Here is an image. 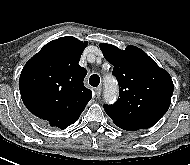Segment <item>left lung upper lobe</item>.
Here are the masks:
<instances>
[{
	"mask_svg": "<svg viewBox=\"0 0 190 165\" xmlns=\"http://www.w3.org/2000/svg\"><path fill=\"white\" fill-rule=\"evenodd\" d=\"M105 59L113 66L119 82V98L104 110L121 129L136 131L152 127L168 110L173 82L143 50L127 46L121 50L111 44H99Z\"/></svg>",
	"mask_w": 190,
	"mask_h": 165,
	"instance_id": "5c2ea615",
	"label": "left lung upper lobe"
}]
</instances>
